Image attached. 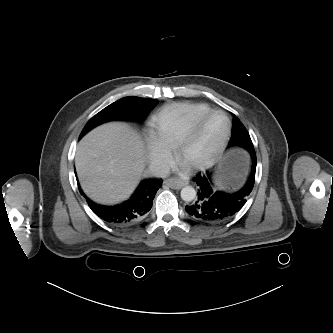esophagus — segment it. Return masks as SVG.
<instances>
[{
  "mask_svg": "<svg viewBox=\"0 0 333 333\" xmlns=\"http://www.w3.org/2000/svg\"><path fill=\"white\" fill-rule=\"evenodd\" d=\"M165 184L172 189H181L183 186L187 184V182L179 180V179H168L165 181Z\"/></svg>",
  "mask_w": 333,
  "mask_h": 333,
  "instance_id": "34e87169",
  "label": "esophagus"
}]
</instances>
